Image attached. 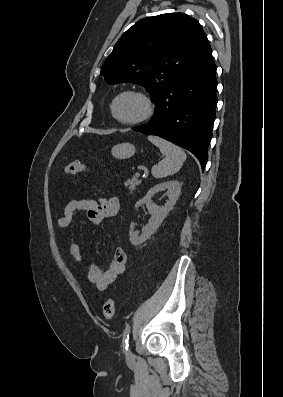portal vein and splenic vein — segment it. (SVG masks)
<instances>
[{
    "instance_id": "18ae733b",
    "label": "portal vein and splenic vein",
    "mask_w": 283,
    "mask_h": 397,
    "mask_svg": "<svg viewBox=\"0 0 283 397\" xmlns=\"http://www.w3.org/2000/svg\"><path fill=\"white\" fill-rule=\"evenodd\" d=\"M140 175H141L140 172H136V173H135V176H136L137 178L140 177Z\"/></svg>"
}]
</instances>
